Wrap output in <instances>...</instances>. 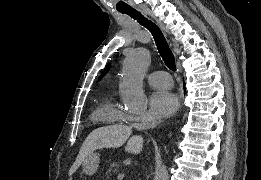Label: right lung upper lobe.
I'll return each instance as SVG.
<instances>
[{
  "label": "right lung upper lobe",
  "instance_id": "obj_1",
  "mask_svg": "<svg viewBox=\"0 0 261 180\" xmlns=\"http://www.w3.org/2000/svg\"><path fill=\"white\" fill-rule=\"evenodd\" d=\"M108 69H109V67H107V69L103 72V74L101 75V77L99 79H101L102 76H104L108 72Z\"/></svg>",
  "mask_w": 261,
  "mask_h": 180
}]
</instances>
